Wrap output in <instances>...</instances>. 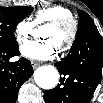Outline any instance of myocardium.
<instances>
[{
  "label": "myocardium",
  "mask_w": 103,
  "mask_h": 103,
  "mask_svg": "<svg viewBox=\"0 0 103 103\" xmlns=\"http://www.w3.org/2000/svg\"><path fill=\"white\" fill-rule=\"evenodd\" d=\"M48 26H52L56 29H67L69 34L66 41L58 47L61 52L68 51L75 42L78 31L77 21L73 17H65L61 19L54 20L49 23Z\"/></svg>",
  "instance_id": "obj_1"
}]
</instances>
